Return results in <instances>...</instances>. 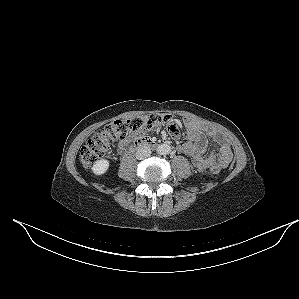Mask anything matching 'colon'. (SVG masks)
<instances>
[{"label":"colon","mask_w":299,"mask_h":299,"mask_svg":"<svg viewBox=\"0 0 299 299\" xmlns=\"http://www.w3.org/2000/svg\"><path fill=\"white\" fill-rule=\"evenodd\" d=\"M161 126H166L171 134L179 133L177 121L167 114L154 113L115 121L104 127L81 148V164L85 168H90L115 142L123 141L144 130ZM184 139L187 142H194L197 139V132L194 129H187L184 132ZM220 171L221 166L218 164L212 165L209 169L211 174H217Z\"/></svg>","instance_id":"1"}]
</instances>
